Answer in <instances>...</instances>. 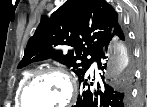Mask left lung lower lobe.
I'll list each match as a JSON object with an SVG mask.
<instances>
[{
    "label": "left lung lower lobe",
    "instance_id": "left-lung-lower-lobe-1",
    "mask_svg": "<svg viewBox=\"0 0 147 107\" xmlns=\"http://www.w3.org/2000/svg\"><path fill=\"white\" fill-rule=\"evenodd\" d=\"M114 35H117L123 41L125 40L124 33L119 24L115 25L107 43L91 61V63L96 61L98 69L100 70L106 69L108 43ZM91 63L87 70L79 77V83L82 85V91L78 96L76 105L73 107H128L130 100L131 73L122 80L117 87H112L107 84L100 86L98 83L94 88H90V85L87 83L90 76L87 79H84V77ZM101 78L104 79V76H101ZM92 85L93 83L91 82V86Z\"/></svg>",
    "mask_w": 147,
    "mask_h": 107
}]
</instances>
